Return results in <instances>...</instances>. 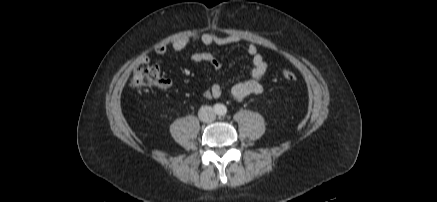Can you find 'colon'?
Returning a JSON list of instances; mask_svg holds the SVG:
<instances>
[{
  "mask_svg": "<svg viewBox=\"0 0 437 202\" xmlns=\"http://www.w3.org/2000/svg\"><path fill=\"white\" fill-rule=\"evenodd\" d=\"M284 80L292 82L297 79V76L292 71H284L282 73ZM165 78L157 65H151L147 62L138 64L133 72L131 85L136 90H146L153 87L161 86Z\"/></svg>",
  "mask_w": 437,
  "mask_h": 202,
  "instance_id": "5ec220e1",
  "label": "colon"
}]
</instances>
